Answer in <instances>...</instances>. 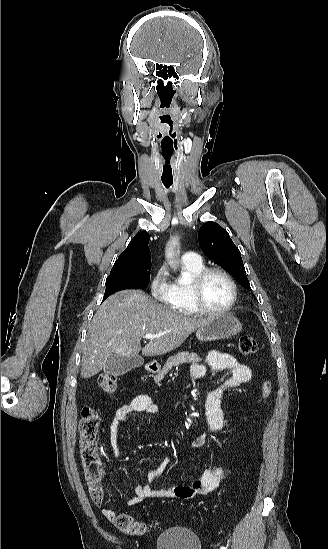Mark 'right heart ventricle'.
<instances>
[{
  "label": "right heart ventricle",
  "instance_id": "1",
  "mask_svg": "<svg viewBox=\"0 0 328 549\" xmlns=\"http://www.w3.org/2000/svg\"><path fill=\"white\" fill-rule=\"evenodd\" d=\"M206 265L205 259L196 255L194 259H180L181 276L168 283L167 293L161 303H169V310H180V319H200L189 308L192 304L189 295V281Z\"/></svg>",
  "mask_w": 328,
  "mask_h": 549
}]
</instances>
